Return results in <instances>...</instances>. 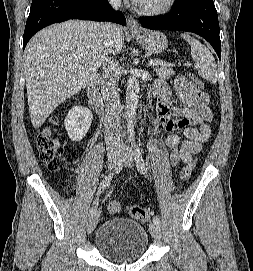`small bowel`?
<instances>
[{
	"mask_svg": "<svg viewBox=\"0 0 253 271\" xmlns=\"http://www.w3.org/2000/svg\"><path fill=\"white\" fill-rule=\"evenodd\" d=\"M174 87L180 101L186 105L185 108L172 106V93L164 79L156 80L152 89L157 96L154 132L157 133L161 127L169 132L165 144L170 150L171 165L178 161L188 163L194 155L200 153L203 143L211 136L210 123L213 120L208 98L199 90L194 80L177 76ZM177 130H182L183 140Z\"/></svg>",
	"mask_w": 253,
	"mask_h": 271,
	"instance_id": "obj_1",
	"label": "small bowel"
}]
</instances>
